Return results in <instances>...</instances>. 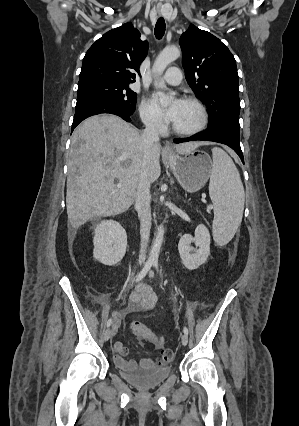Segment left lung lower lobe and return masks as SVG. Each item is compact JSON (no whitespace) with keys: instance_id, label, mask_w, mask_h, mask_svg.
Masks as SVG:
<instances>
[{"instance_id":"0a47b994","label":"left lung lower lobe","mask_w":299,"mask_h":426,"mask_svg":"<svg viewBox=\"0 0 299 426\" xmlns=\"http://www.w3.org/2000/svg\"><path fill=\"white\" fill-rule=\"evenodd\" d=\"M196 140L213 141V142L225 144L229 146L230 148H232L238 154V156L244 163V158H243L242 150L240 147V134L238 131L232 130L227 127L207 128V130H205L204 132L200 134H196L188 138L174 139V142L182 143V142L196 141Z\"/></svg>"}]
</instances>
